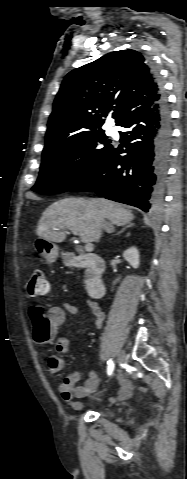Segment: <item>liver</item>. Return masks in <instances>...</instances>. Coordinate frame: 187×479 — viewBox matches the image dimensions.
<instances>
[{
	"instance_id": "liver-1",
	"label": "liver",
	"mask_w": 187,
	"mask_h": 479,
	"mask_svg": "<svg viewBox=\"0 0 187 479\" xmlns=\"http://www.w3.org/2000/svg\"><path fill=\"white\" fill-rule=\"evenodd\" d=\"M99 217L107 219L108 226H100ZM134 219L130 210L103 198H65L51 204L42 214L36 234L51 242H63L66 232L73 229L82 242H99L102 229L113 231V225L124 226Z\"/></svg>"
}]
</instances>
